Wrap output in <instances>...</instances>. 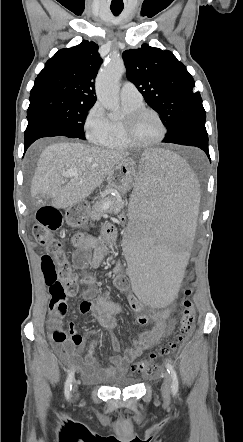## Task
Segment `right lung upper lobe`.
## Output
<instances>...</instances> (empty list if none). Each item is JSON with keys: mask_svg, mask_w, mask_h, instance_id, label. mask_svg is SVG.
<instances>
[{"mask_svg": "<svg viewBox=\"0 0 243 442\" xmlns=\"http://www.w3.org/2000/svg\"><path fill=\"white\" fill-rule=\"evenodd\" d=\"M101 63L94 42L83 40L75 47L60 49L38 74L30 97L59 94L93 105L94 80Z\"/></svg>", "mask_w": 243, "mask_h": 442, "instance_id": "right-lung-upper-lobe-1", "label": "right lung upper lobe"}]
</instances>
